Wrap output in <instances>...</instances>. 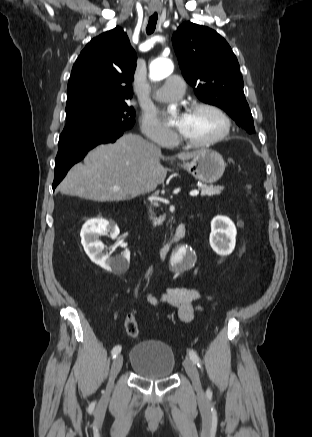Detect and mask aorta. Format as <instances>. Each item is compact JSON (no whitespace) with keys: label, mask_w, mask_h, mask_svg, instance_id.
<instances>
[{"label":"aorta","mask_w":312,"mask_h":437,"mask_svg":"<svg viewBox=\"0 0 312 437\" xmlns=\"http://www.w3.org/2000/svg\"><path fill=\"white\" fill-rule=\"evenodd\" d=\"M173 72V64L169 59L158 58L151 62L150 64V79L154 81H159ZM186 251L184 248H180L174 256V262H181L185 257ZM194 256H190L191 262Z\"/></svg>","instance_id":"aorta-1"}]
</instances>
